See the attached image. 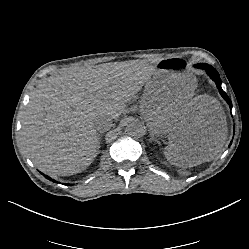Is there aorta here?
Returning a JSON list of instances; mask_svg holds the SVG:
<instances>
[{
	"label": "aorta",
	"mask_w": 249,
	"mask_h": 249,
	"mask_svg": "<svg viewBox=\"0 0 249 249\" xmlns=\"http://www.w3.org/2000/svg\"><path fill=\"white\" fill-rule=\"evenodd\" d=\"M126 131L129 135L138 136L143 132V125L138 120H129L126 123Z\"/></svg>",
	"instance_id": "obj_1"
}]
</instances>
